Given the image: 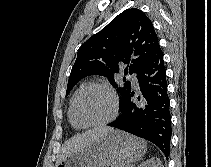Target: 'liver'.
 <instances>
[{
  "mask_svg": "<svg viewBox=\"0 0 211 167\" xmlns=\"http://www.w3.org/2000/svg\"><path fill=\"white\" fill-rule=\"evenodd\" d=\"M112 130L113 128L101 126L72 137L64 144L57 159L56 165L72 154L80 152L91 146L93 143L106 136Z\"/></svg>",
  "mask_w": 211,
  "mask_h": 167,
  "instance_id": "liver-1",
  "label": "liver"
}]
</instances>
